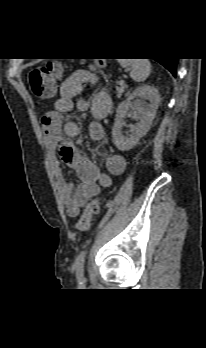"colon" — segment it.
<instances>
[{"instance_id":"5ec220e1","label":"colon","mask_w":206,"mask_h":348,"mask_svg":"<svg viewBox=\"0 0 206 348\" xmlns=\"http://www.w3.org/2000/svg\"><path fill=\"white\" fill-rule=\"evenodd\" d=\"M61 73L59 63H49L36 67L29 72V83L31 92L39 98L49 97L55 93L57 78ZM100 211V200H91L84 208L83 213L76 222V229L87 231L90 228L92 219Z\"/></svg>"}]
</instances>
